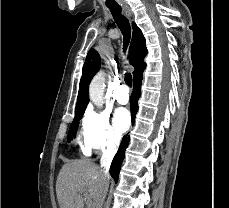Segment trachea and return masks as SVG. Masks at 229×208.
Returning a JSON list of instances; mask_svg holds the SVG:
<instances>
[{
  "instance_id": "3493384b",
  "label": "trachea",
  "mask_w": 229,
  "mask_h": 208,
  "mask_svg": "<svg viewBox=\"0 0 229 208\" xmlns=\"http://www.w3.org/2000/svg\"><path fill=\"white\" fill-rule=\"evenodd\" d=\"M111 11V14L114 18L115 23L117 24L118 28L121 30L123 35V48L126 50L127 46L129 45L130 38H131V27L129 24V20L122 15L121 7H108ZM124 81L128 87H132V75L131 73H125Z\"/></svg>"
}]
</instances>
